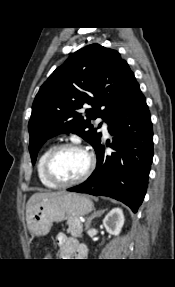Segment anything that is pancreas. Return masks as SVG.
Returning a JSON list of instances; mask_svg holds the SVG:
<instances>
[{"label": "pancreas", "mask_w": 175, "mask_h": 287, "mask_svg": "<svg viewBox=\"0 0 175 287\" xmlns=\"http://www.w3.org/2000/svg\"><path fill=\"white\" fill-rule=\"evenodd\" d=\"M66 220L68 224L67 232L73 237H82L83 225L79 219L77 217L68 216Z\"/></svg>", "instance_id": "cf45deb5"}]
</instances>
